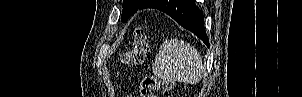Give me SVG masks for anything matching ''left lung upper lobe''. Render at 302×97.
Here are the masks:
<instances>
[{
    "mask_svg": "<svg viewBox=\"0 0 302 97\" xmlns=\"http://www.w3.org/2000/svg\"><path fill=\"white\" fill-rule=\"evenodd\" d=\"M150 2L151 0H124L121 17L122 22L127 21L129 17L138 10L148 7Z\"/></svg>",
    "mask_w": 302,
    "mask_h": 97,
    "instance_id": "5c2ea615",
    "label": "left lung upper lobe"
}]
</instances>
